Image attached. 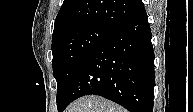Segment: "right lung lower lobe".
<instances>
[{
  "instance_id": "right-lung-lower-lobe-1",
  "label": "right lung lower lobe",
  "mask_w": 193,
  "mask_h": 112,
  "mask_svg": "<svg viewBox=\"0 0 193 112\" xmlns=\"http://www.w3.org/2000/svg\"><path fill=\"white\" fill-rule=\"evenodd\" d=\"M154 51L146 11L112 32L90 53L58 110L75 99L95 94L130 112H153Z\"/></svg>"
}]
</instances>
